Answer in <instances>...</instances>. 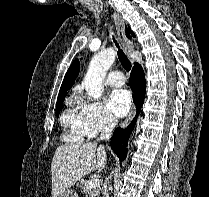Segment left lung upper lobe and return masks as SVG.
<instances>
[{"instance_id":"5c2ea615","label":"left lung upper lobe","mask_w":209,"mask_h":197,"mask_svg":"<svg viewBox=\"0 0 209 197\" xmlns=\"http://www.w3.org/2000/svg\"><path fill=\"white\" fill-rule=\"evenodd\" d=\"M130 32H131V34H132L133 36H135L134 33H133L131 30H130Z\"/></svg>"}]
</instances>
